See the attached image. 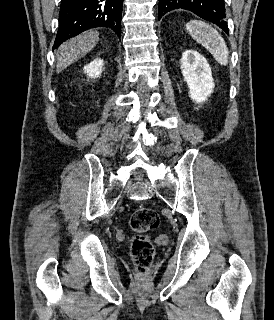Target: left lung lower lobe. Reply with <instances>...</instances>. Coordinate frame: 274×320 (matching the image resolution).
<instances>
[{
    "mask_svg": "<svg viewBox=\"0 0 274 320\" xmlns=\"http://www.w3.org/2000/svg\"><path fill=\"white\" fill-rule=\"evenodd\" d=\"M174 9H186L201 18L216 23L228 34L227 22L224 20V0H159L158 19Z\"/></svg>",
    "mask_w": 274,
    "mask_h": 320,
    "instance_id": "0a47b994",
    "label": "left lung lower lobe"
}]
</instances>
